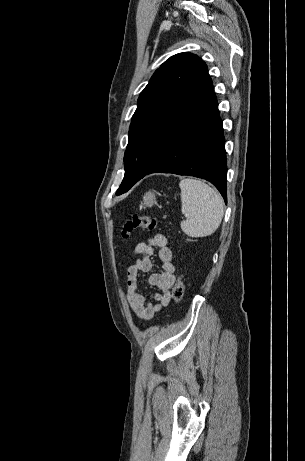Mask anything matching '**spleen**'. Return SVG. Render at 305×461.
<instances>
[{
	"instance_id": "3e777b00",
	"label": "spleen",
	"mask_w": 305,
	"mask_h": 461,
	"mask_svg": "<svg viewBox=\"0 0 305 461\" xmlns=\"http://www.w3.org/2000/svg\"><path fill=\"white\" fill-rule=\"evenodd\" d=\"M181 211L186 220L180 224L190 237H206L219 227L224 206L221 195L201 180L185 178L180 181Z\"/></svg>"
}]
</instances>
